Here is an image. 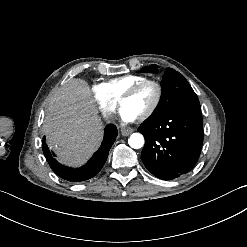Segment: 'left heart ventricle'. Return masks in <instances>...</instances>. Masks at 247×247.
<instances>
[{"instance_id":"1","label":"left heart ventricle","mask_w":247,"mask_h":247,"mask_svg":"<svg viewBox=\"0 0 247 247\" xmlns=\"http://www.w3.org/2000/svg\"><path fill=\"white\" fill-rule=\"evenodd\" d=\"M155 97V89L151 85L144 86L138 94L129 102L133 106H127L137 112H139V117L145 115L151 108L153 100Z\"/></svg>"}]
</instances>
